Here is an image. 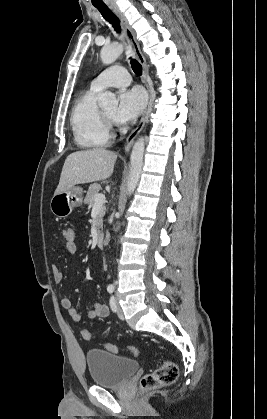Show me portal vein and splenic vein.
<instances>
[{
  "label": "portal vein and splenic vein",
  "instance_id": "18ae733b",
  "mask_svg": "<svg viewBox=\"0 0 267 419\" xmlns=\"http://www.w3.org/2000/svg\"><path fill=\"white\" fill-rule=\"evenodd\" d=\"M105 202V195L104 194H96L95 195V204L94 206L103 205Z\"/></svg>",
  "mask_w": 267,
  "mask_h": 419
}]
</instances>
